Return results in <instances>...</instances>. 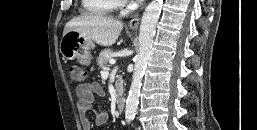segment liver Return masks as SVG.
Listing matches in <instances>:
<instances>
[{
	"label": "liver",
	"instance_id": "liver-1",
	"mask_svg": "<svg viewBox=\"0 0 257 130\" xmlns=\"http://www.w3.org/2000/svg\"><path fill=\"white\" fill-rule=\"evenodd\" d=\"M123 29V23L100 15L87 14L71 19L63 34L76 31L101 46H112Z\"/></svg>",
	"mask_w": 257,
	"mask_h": 130
}]
</instances>
